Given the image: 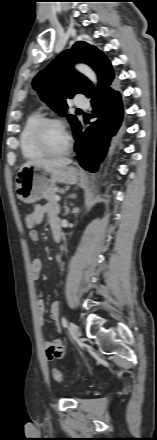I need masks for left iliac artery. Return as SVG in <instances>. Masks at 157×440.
Instances as JSON below:
<instances>
[{
    "instance_id": "obj_1",
    "label": "left iliac artery",
    "mask_w": 157,
    "mask_h": 440,
    "mask_svg": "<svg viewBox=\"0 0 157 440\" xmlns=\"http://www.w3.org/2000/svg\"><path fill=\"white\" fill-rule=\"evenodd\" d=\"M62 325L65 328L68 326V320L65 317H62Z\"/></svg>"
}]
</instances>
